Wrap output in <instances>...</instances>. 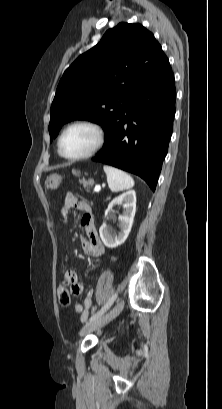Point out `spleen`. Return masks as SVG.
I'll return each mask as SVG.
<instances>
[{"instance_id":"obj_1","label":"spleen","mask_w":222,"mask_h":409,"mask_svg":"<svg viewBox=\"0 0 222 409\" xmlns=\"http://www.w3.org/2000/svg\"><path fill=\"white\" fill-rule=\"evenodd\" d=\"M107 176V183L112 192H119L134 186L133 178L126 172L105 165L103 167Z\"/></svg>"}]
</instances>
